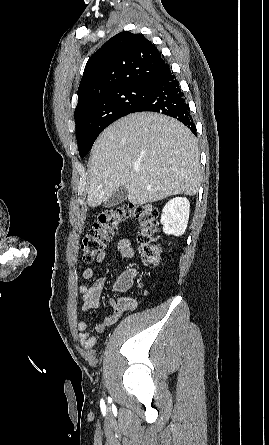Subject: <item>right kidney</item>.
<instances>
[{"label":"right kidney","mask_w":269,"mask_h":445,"mask_svg":"<svg viewBox=\"0 0 269 445\" xmlns=\"http://www.w3.org/2000/svg\"><path fill=\"white\" fill-rule=\"evenodd\" d=\"M190 203L182 197L170 200L163 208L161 223L167 235L181 236L184 234L189 219Z\"/></svg>","instance_id":"right-kidney-1"}]
</instances>
